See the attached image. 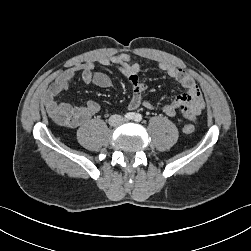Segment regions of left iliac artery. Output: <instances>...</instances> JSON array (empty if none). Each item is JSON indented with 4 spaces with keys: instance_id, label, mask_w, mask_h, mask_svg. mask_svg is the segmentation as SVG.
I'll return each mask as SVG.
<instances>
[{
    "instance_id": "44dca946",
    "label": "left iliac artery",
    "mask_w": 251,
    "mask_h": 251,
    "mask_svg": "<svg viewBox=\"0 0 251 251\" xmlns=\"http://www.w3.org/2000/svg\"><path fill=\"white\" fill-rule=\"evenodd\" d=\"M141 119H142V116H141L140 114H137V115H135V117H134V120H135L136 122L141 121Z\"/></svg>"
}]
</instances>
